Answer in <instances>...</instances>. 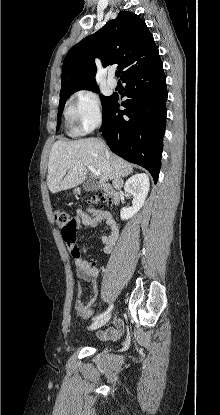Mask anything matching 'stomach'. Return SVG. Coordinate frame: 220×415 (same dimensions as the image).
Returning <instances> with one entry per match:
<instances>
[{"instance_id": "1", "label": "stomach", "mask_w": 220, "mask_h": 415, "mask_svg": "<svg viewBox=\"0 0 220 415\" xmlns=\"http://www.w3.org/2000/svg\"><path fill=\"white\" fill-rule=\"evenodd\" d=\"M78 192H79V190H78V189H76V190H75V193H78Z\"/></svg>"}]
</instances>
